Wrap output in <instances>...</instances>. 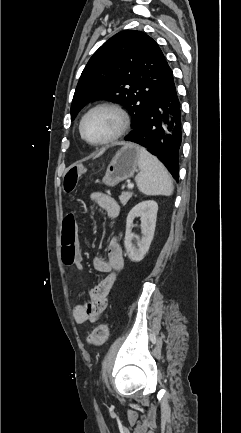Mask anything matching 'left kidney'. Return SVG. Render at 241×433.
I'll use <instances>...</instances> for the list:
<instances>
[{
  "instance_id": "obj_1",
  "label": "left kidney",
  "mask_w": 241,
  "mask_h": 433,
  "mask_svg": "<svg viewBox=\"0 0 241 433\" xmlns=\"http://www.w3.org/2000/svg\"><path fill=\"white\" fill-rule=\"evenodd\" d=\"M157 212L158 204L153 200L143 201L134 206L129 212L126 220L124 245L131 261L140 262L148 252L154 237ZM136 217L141 218L142 232V238L138 242V248L132 243L134 238L132 234L133 220Z\"/></svg>"
}]
</instances>
